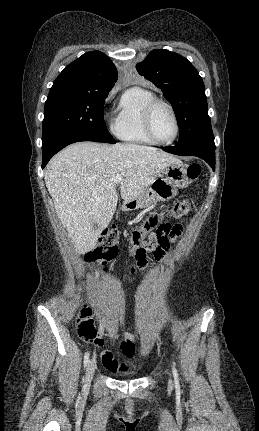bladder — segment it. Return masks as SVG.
<instances>
[{"label": "bladder", "instance_id": "1", "mask_svg": "<svg viewBox=\"0 0 259 431\" xmlns=\"http://www.w3.org/2000/svg\"><path fill=\"white\" fill-rule=\"evenodd\" d=\"M122 378H132V377H136L137 373H130V374H124V375H120Z\"/></svg>", "mask_w": 259, "mask_h": 431}]
</instances>
